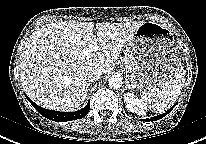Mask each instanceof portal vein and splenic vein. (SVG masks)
<instances>
[{
  "label": "portal vein and splenic vein",
  "mask_w": 206,
  "mask_h": 144,
  "mask_svg": "<svg viewBox=\"0 0 206 144\" xmlns=\"http://www.w3.org/2000/svg\"><path fill=\"white\" fill-rule=\"evenodd\" d=\"M99 50V46L97 44H89L86 49H84L81 53L83 57L89 56L92 52H96Z\"/></svg>",
  "instance_id": "18ae733b"
}]
</instances>
